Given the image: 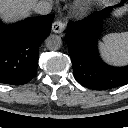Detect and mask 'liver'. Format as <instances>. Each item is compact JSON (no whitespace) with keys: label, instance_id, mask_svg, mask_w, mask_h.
<instances>
[{"label":"liver","instance_id":"liver-1","mask_svg":"<svg viewBox=\"0 0 128 128\" xmlns=\"http://www.w3.org/2000/svg\"><path fill=\"white\" fill-rule=\"evenodd\" d=\"M37 0H0V17L12 22L29 15Z\"/></svg>","mask_w":128,"mask_h":128}]
</instances>
